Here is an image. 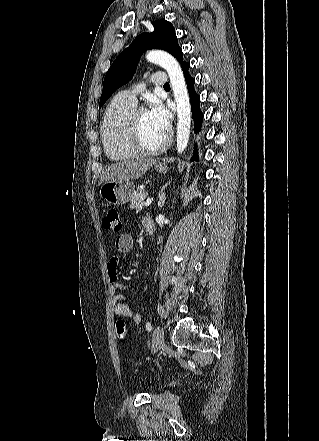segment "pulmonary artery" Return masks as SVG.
Wrapping results in <instances>:
<instances>
[{
	"instance_id": "1",
	"label": "pulmonary artery",
	"mask_w": 319,
	"mask_h": 441,
	"mask_svg": "<svg viewBox=\"0 0 319 441\" xmlns=\"http://www.w3.org/2000/svg\"><path fill=\"white\" fill-rule=\"evenodd\" d=\"M167 82V77L163 72H157L151 75L150 83L154 86L164 87ZM144 88L143 85L137 86L136 88L125 90L121 93V95L127 100L136 103L137 102V94L142 91Z\"/></svg>"
}]
</instances>
